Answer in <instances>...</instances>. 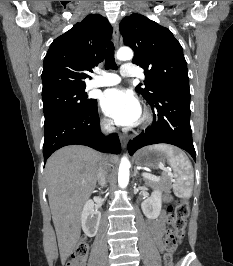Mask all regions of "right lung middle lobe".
Returning a JSON list of instances; mask_svg holds the SVG:
<instances>
[{"label": "right lung middle lobe", "mask_w": 233, "mask_h": 266, "mask_svg": "<svg viewBox=\"0 0 233 266\" xmlns=\"http://www.w3.org/2000/svg\"><path fill=\"white\" fill-rule=\"evenodd\" d=\"M85 87L56 90L42 94L45 122L64 114L77 113L90 109L96 102L87 99Z\"/></svg>", "instance_id": "dd1d6c3e"}]
</instances>
